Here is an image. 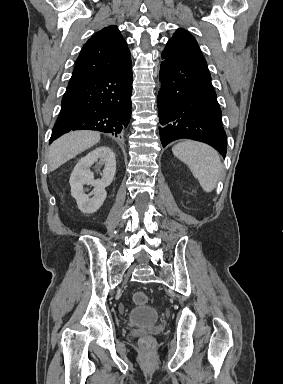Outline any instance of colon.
I'll use <instances>...</instances> for the list:
<instances>
[{
	"label": "colon",
	"mask_w": 283,
	"mask_h": 384,
	"mask_svg": "<svg viewBox=\"0 0 283 384\" xmlns=\"http://www.w3.org/2000/svg\"><path fill=\"white\" fill-rule=\"evenodd\" d=\"M132 299L136 305H145L148 302V297L143 291L134 292ZM152 342L153 340L149 336L143 337L141 339V344L146 347L150 346Z\"/></svg>",
	"instance_id": "5ec220e1"
}]
</instances>
